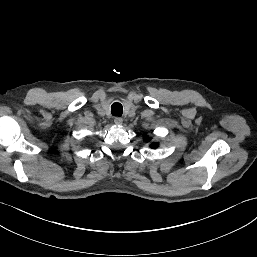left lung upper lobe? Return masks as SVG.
I'll use <instances>...</instances> for the list:
<instances>
[{
    "mask_svg": "<svg viewBox=\"0 0 257 257\" xmlns=\"http://www.w3.org/2000/svg\"><path fill=\"white\" fill-rule=\"evenodd\" d=\"M151 147H152V148H156V147H158V144H157V143L152 144Z\"/></svg>",
    "mask_w": 257,
    "mask_h": 257,
    "instance_id": "obj_1",
    "label": "left lung upper lobe"
}]
</instances>
